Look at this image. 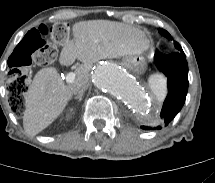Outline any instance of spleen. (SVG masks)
Wrapping results in <instances>:
<instances>
[{
    "instance_id": "1",
    "label": "spleen",
    "mask_w": 215,
    "mask_h": 183,
    "mask_svg": "<svg viewBox=\"0 0 215 183\" xmlns=\"http://www.w3.org/2000/svg\"><path fill=\"white\" fill-rule=\"evenodd\" d=\"M150 88L158 98L159 101H163L166 95V81L158 75H152L149 80Z\"/></svg>"
}]
</instances>
